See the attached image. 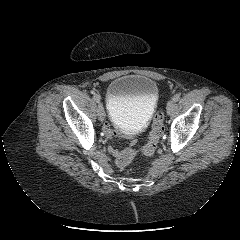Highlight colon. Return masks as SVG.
<instances>
[{"label": "colon", "instance_id": "colon-1", "mask_svg": "<svg viewBox=\"0 0 240 240\" xmlns=\"http://www.w3.org/2000/svg\"><path fill=\"white\" fill-rule=\"evenodd\" d=\"M164 132V117L162 111H159L152 123V129L148 138L147 144L141 149V153L145 155H152L159 143V140ZM137 154V151L132 147L127 148L122 151L116 158V164L118 167L123 168L127 166L134 156Z\"/></svg>", "mask_w": 240, "mask_h": 240}]
</instances>
